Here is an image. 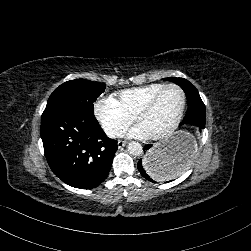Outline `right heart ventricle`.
<instances>
[{"label": "right heart ventricle", "instance_id": "1", "mask_svg": "<svg viewBox=\"0 0 251 251\" xmlns=\"http://www.w3.org/2000/svg\"><path fill=\"white\" fill-rule=\"evenodd\" d=\"M164 86L165 84L163 83L155 82L125 89L120 92V102L129 112L134 114Z\"/></svg>", "mask_w": 251, "mask_h": 251}]
</instances>
